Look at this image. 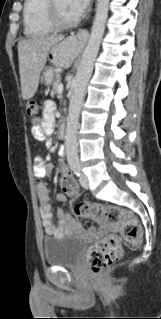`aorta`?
I'll list each match as a JSON object with an SVG mask.
<instances>
[{"label":"aorta","mask_w":161,"mask_h":319,"mask_svg":"<svg viewBox=\"0 0 161 319\" xmlns=\"http://www.w3.org/2000/svg\"><path fill=\"white\" fill-rule=\"evenodd\" d=\"M108 7L109 0H97L96 14L91 29V35L83 51L77 74L73 79V94L70 99L65 135L66 157L70 166H76L79 163L77 153L79 115L87 83L91 77L100 43L104 35Z\"/></svg>","instance_id":"762f6f07"}]
</instances>
